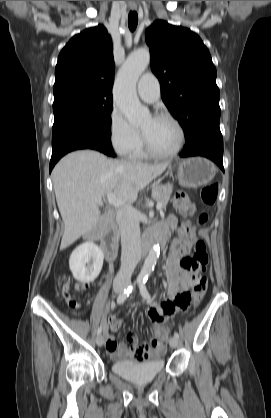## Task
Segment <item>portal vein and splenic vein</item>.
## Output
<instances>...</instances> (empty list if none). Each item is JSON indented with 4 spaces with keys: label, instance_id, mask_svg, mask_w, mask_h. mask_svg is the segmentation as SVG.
Masks as SVG:
<instances>
[{
    "label": "portal vein and splenic vein",
    "instance_id": "1",
    "mask_svg": "<svg viewBox=\"0 0 271 418\" xmlns=\"http://www.w3.org/2000/svg\"><path fill=\"white\" fill-rule=\"evenodd\" d=\"M107 198H108V203L110 205H113L114 207H121L122 205H124V202L118 199L113 192L108 193ZM156 208L157 210H161L162 204L158 202Z\"/></svg>",
    "mask_w": 271,
    "mask_h": 418
}]
</instances>
